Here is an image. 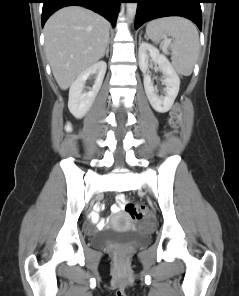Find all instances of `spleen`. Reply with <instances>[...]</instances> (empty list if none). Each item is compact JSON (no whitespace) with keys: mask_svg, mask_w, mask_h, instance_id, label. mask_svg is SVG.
Returning <instances> with one entry per match:
<instances>
[{"mask_svg":"<svg viewBox=\"0 0 239 296\" xmlns=\"http://www.w3.org/2000/svg\"><path fill=\"white\" fill-rule=\"evenodd\" d=\"M163 32L174 38L171 48L175 70L184 76L191 75L199 52V35L195 25L186 19L171 17L151 21L146 27L151 39H157Z\"/></svg>","mask_w":239,"mask_h":296,"instance_id":"1","label":"spleen"}]
</instances>
